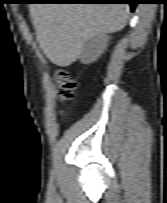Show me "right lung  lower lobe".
<instances>
[{
    "mask_svg": "<svg viewBox=\"0 0 167 203\" xmlns=\"http://www.w3.org/2000/svg\"><path fill=\"white\" fill-rule=\"evenodd\" d=\"M81 3H93V4L126 3V4H130L132 12L135 10V6L137 4L136 0H83Z\"/></svg>",
    "mask_w": 167,
    "mask_h": 203,
    "instance_id": "98d812e1",
    "label": "right lung lower lobe"
}]
</instances>
